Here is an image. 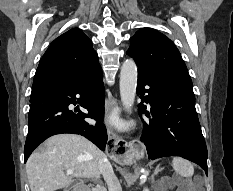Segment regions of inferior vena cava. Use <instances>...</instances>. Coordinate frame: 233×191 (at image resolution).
I'll return each mask as SVG.
<instances>
[{
    "label": "inferior vena cava",
    "instance_id": "obj_1",
    "mask_svg": "<svg viewBox=\"0 0 233 191\" xmlns=\"http://www.w3.org/2000/svg\"><path fill=\"white\" fill-rule=\"evenodd\" d=\"M100 173L108 185L109 191H122L121 185L113 172V168L106 156L102 157L98 162Z\"/></svg>",
    "mask_w": 233,
    "mask_h": 191
}]
</instances>
